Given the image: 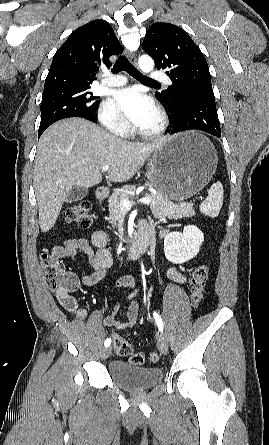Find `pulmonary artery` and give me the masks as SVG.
<instances>
[{
    "label": "pulmonary artery",
    "mask_w": 269,
    "mask_h": 445,
    "mask_svg": "<svg viewBox=\"0 0 269 445\" xmlns=\"http://www.w3.org/2000/svg\"><path fill=\"white\" fill-rule=\"evenodd\" d=\"M153 80L163 81L166 84H171L169 77L160 72H153L150 76ZM102 84L109 87H118L126 83V79L120 75H112L102 79Z\"/></svg>",
    "instance_id": "obj_1"
}]
</instances>
